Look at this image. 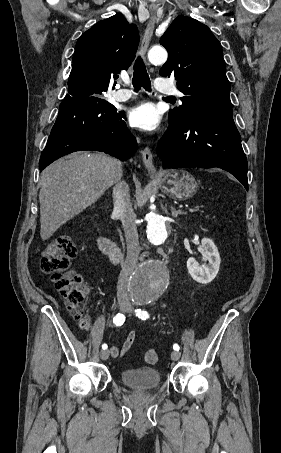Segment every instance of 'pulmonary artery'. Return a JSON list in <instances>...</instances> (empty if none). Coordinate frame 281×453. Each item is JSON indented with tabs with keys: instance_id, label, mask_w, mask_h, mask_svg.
Returning <instances> with one entry per match:
<instances>
[{
	"instance_id": "obj_1",
	"label": "pulmonary artery",
	"mask_w": 281,
	"mask_h": 453,
	"mask_svg": "<svg viewBox=\"0 0 281 453\" xmlns=\"http://www.w3.org/2000/svg\"><path fill=\"white\" fill-rule=\"evenodd\" d=\"M123 82H127V78L125 77H122L121 78ZM167 94H174L178 97H181L183 94L180 92V91H177V90H173V91H167L165 92ZM133 96V93L131 90L129 89H125V88H121V89H118L114 95H113V99L117 102H124V101H127L129 100L131 97Z\"/></svg>"
}]
</instances>
